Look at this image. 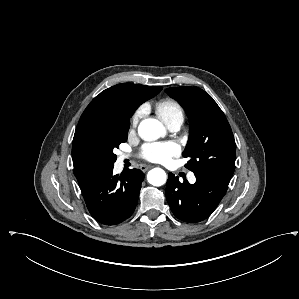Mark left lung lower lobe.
Wrapping results in <instances>:
<instances>
[{
  "label": "left lung lower lobe",
  "instance_id": "0a47b994",
  "mask_svg": "<svg viewBox=\"0 0 299 299\" xmlns=\"http://www.w3.org/2000/svg\"><path fill=\"white\" fill-rule=\"evenodd\" d=\"M196 183L179 178L169 173L166 183V198L173 214L188 223L205 220L217 208L225 195L228 182L205 172L194 173Z\"/></svg>",
  "mask_w": 299,
  "mask_h": 299
}]
</instances>
